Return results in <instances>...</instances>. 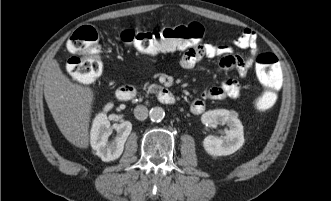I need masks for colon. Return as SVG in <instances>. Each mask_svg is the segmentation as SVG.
Returning a JSON list of instances; mask_svg holds the SVG:
<instances>
[{"label":"colon","instance_id":"5ec220e1","mask_svg":"<svg viewBox=\"0 0 331 201\" xmlns=\"http://www.w3.org/2000/svg\"><path fill=\"white\" fill-rule=\"evenodd\" d=\"M204 36V27L197 22L159 31L125 29L120 34L121 41L125 45L149 55L196 47ZM68 49L71 53L77 54L67 62V71L73 80L91 83L100 77L103 62L98 33L93 27L78 28L69 39ZM255 64L263 91L252 100V104L257 111L264 112L277 102L283 81V67L278 57L271 52L258 54Z\"/></svg>","mask_w":331,"mask_h":201}]
</instances>
